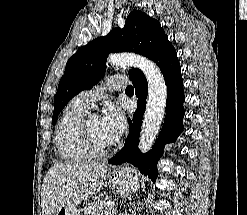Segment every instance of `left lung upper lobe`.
Listing matches in <instances>:
<instances>
[{"label": "left lung upper lobe", "instance_id": "left-lung-upper-lobe-1", "mask_svg": "<svg viewBox=\"0 0 247 215\" xmlns=\"http://www.w3.org/2000/svg\"><path fill=\"white\" fill-rule=\"evenodd\" d=\"M168 36L159 22L144 12L132 11L124 28H114L107 36L99 37L81 47L67 61L54 99V124L64 106L79 92L91 88L104 76L106 58L110 52H135L153 59ZM140 70H130L132 78Z\"/></svg>", "mask_w": 247, "mask_h": 215}]
</instances>
